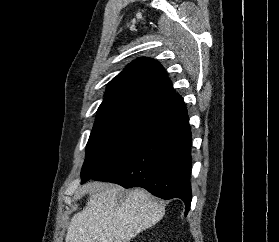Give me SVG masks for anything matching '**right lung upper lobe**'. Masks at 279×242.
<instances>
[{"instance_id":"1","label":"right lung upper lobe","mask_w":279,"mask_h":242,"mask_svg":"<svg viewBox=\"0 0 279 242\" xmlns=\"http://www.w3.org/2000/svg\"><path fill=\"white\" fill-rule=\"evenodd\" d=\"M184 106L162 65L141 57L109 82L98 114L144 112L161 116Z\"/></svg>"}]
</instances>
